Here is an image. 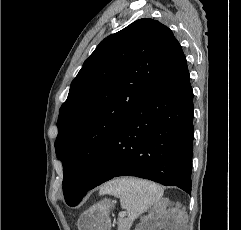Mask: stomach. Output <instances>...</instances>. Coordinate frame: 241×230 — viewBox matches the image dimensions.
<instances>
[{"instance_id": "stomach-1", "label": "stomach", "mask_w": 241, "mask_h": 230, "mask_svg": "<svg viewBox=\"0 0 241 230\" xmlns=\"http://www.w3.org/2000/svg\"><path fill=\"white\" fill-rule=\"evenodd\" d=\"M115 201L102 200L84 211L77 222L78 230H111V209Z\"/></svg>"}]
</instances>
